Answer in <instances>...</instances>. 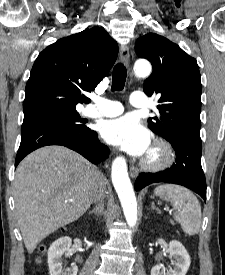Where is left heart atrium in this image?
Returning <instances> with one entry per match:
<instances>
[{"label":"left heart atrium","instance_id":"left-heart-atrium-1","mask_svg":"<svg viewBox=\"0 0 225 275\" xmlns=\"http://www.w3.org/2000/svg\"><path fill=\"white\" fill-rule=\"evenodd\" d=\"M101 134L110 144L135 156L147 153L150 147L149 132L133 115L106 121L101 128Z\"/></svg>","mask_w":225,"mask_h":275}]
</instances>
